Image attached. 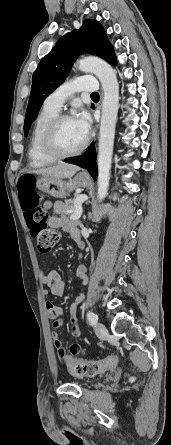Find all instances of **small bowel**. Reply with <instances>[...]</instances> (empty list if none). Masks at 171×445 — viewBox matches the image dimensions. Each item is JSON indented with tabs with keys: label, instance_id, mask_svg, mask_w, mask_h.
I'll return each mask as SVG.
<instances>
[{
	"label": "small bowel",
	"instance_id": "small-bowel-1",
	"mask_svg": "<svg viewBox=\"0 0 171 445\" xmlns=\"http://www.w3.org/2000/svg\"><path fill=\"white\" fill-rule=\"evenodd\" d=\"M46 209H52L54 207L53 203L50 201H47L44 204ZM50 225L54 228L58 229H64L67 230L74 238L75 236H79V230L78 226L75 222L68 221L64 216H53L50 218ZM86 272L87 267L84 265H80L76 269V274L80 278L82 283L86 282ZM41 283L42 285L46 286L48 290L44 291L45 295H48L50 292L52 295L61 297L64 295L65 292V283L60 278L59 274L55 271L50 272H43L41 276ZM78 302H74L70 307V312L74 314L78 308ZM45 308L48 317L52 320L53 328L59 329L63 325V317H64V309L54 304L53 302L47 301L45 303ZM71 335L73 337H79L81 330L80 326L76 320L75 317H72L71 319ZM53 340H54V347L57 351V353L60 356L65 355V350L63 347V342L60 337V335L57 332H53L52 334ZM81 349L80 343H74L70 347V354L71 356L77 353ZM115 359V358H114ZM116 359L114 360V363L109 366L107 369H113L115 367Z\"/></svg>",
	"mask_w": 171,
	"mask_h": 445
}]
</instances>
